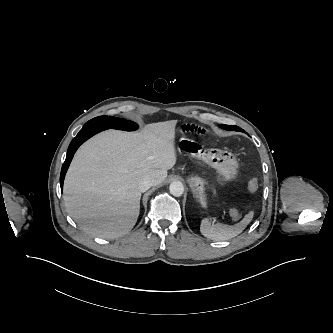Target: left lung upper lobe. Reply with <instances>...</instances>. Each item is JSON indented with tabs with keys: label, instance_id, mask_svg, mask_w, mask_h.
<instances>
[{
	"label": "left lung upper lobe",
	"instance_id": "1",
	"mask_svg": "<svg viewBox=\"0 0 333 333\" xmlns=\"http://www.w3.org/2000/svg\"><path fill=\"white\" fill-rule=\"evenodd\" d=\"M221 128L225 129V130H236V131H240V128H238L237 126H232V125H220Z\"/></svg>",
	"mask_w": 333,
	"mask_h": 333
}]
</instances>
